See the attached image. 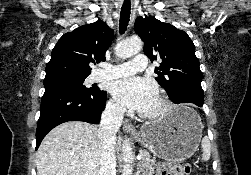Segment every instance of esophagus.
I'll use <instances>...</instances> for the list:
<instances>
[{"instance_id":"1","label":"esophagus","mask_w":251,"mask_h":175,"mask_svg":"<svg viewBox=\"0 0 251 175\" xmlns=\"http://www.w3.org/2000/svg\"><path fill=\"white\" fill-rule=\"evenodd\" d=\"M123 126H124V128L127 129V130H133V127H132V125L129 124L128 120H125V121H124Z\"/></svg>"}]
</instances>
